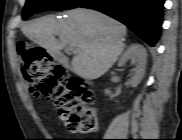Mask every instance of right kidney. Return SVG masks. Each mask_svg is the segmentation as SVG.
Masks as SVG:
<instances>
[{"label": "right kidney", "mask_w": 182, "mask_h": 140, "mask_svg": "<svg viewBox=\"0 0 182 140\" xmlns=\"http://www.w3.org/2000/svg\"><path fill=\"white\" fill-rule=\"evenodd\" d=\"M128 61H131V63L134 65L132 76L129 79V84L132 87H137L145 75L147 63L145 48L139 44H132L120 58L118 66H125Z\"/></svg>", "instance_id": "1"}]
</instances>
